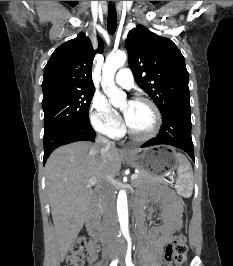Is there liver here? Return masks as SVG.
<instances>
[{
    "instance_id": "obj_1",
    "label": "liver",
    "mask_w": 233,
    "mask_h": 266,
    "mask_svg": "<svg viewBox=\"0 0 233 266\" xmlns=\"http://www.w3.org/2000/svg\"><path fill=\"white\" fill-rule=\"evenodd\" d=\"M100 150L97 144L79 141L59 147L47 160L46 187L61 261L83 228L93 195L88 180L96 179L102 187L121 169L117 148L103 156Z\"/></svg>"
}]
</instances>
